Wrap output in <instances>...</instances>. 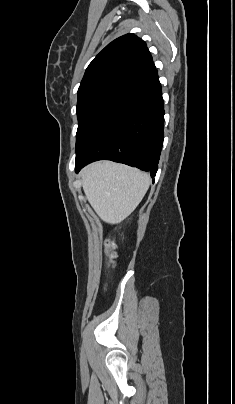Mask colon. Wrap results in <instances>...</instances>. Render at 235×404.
I'll list each match as a JSON object with an SVG mask.
<instances>
[{
  "label": "colon",
  "instance_id": "obj_1",
  "mask_svg": "<svg viewBox=\"0 0 235 404\" xmlns=\"http://www.w3.org/2000/svg\"><path fill=\"white\" fill-rule=\"evenodd\" d=\"M105 247H106L107 263H108V265H114V260L116 257L115 242L111 239H108L105 243Z\"/></svg>",
  "mask_w": 235,
  "mask_h": 404
}]
</instances>
